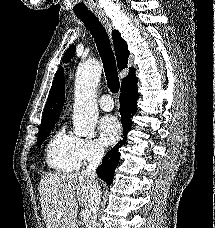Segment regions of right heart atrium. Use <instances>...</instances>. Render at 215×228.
Masks as SVG:
<instances>
[{"instance_id":"right-heart-atrium-1","label":"right heart atrium","mask_w":215,"mask_h":228,"mask_svg":"<svg viewBox=\"0 0 215 228\" xmlns=\"http://www.w3.org/2000/svg\"><path fill=\"white\" fill-rule=\"evenodd\" d=\"M106 152L103 143L94 138L79 139V158L83 164H91L102 160Z\"/></svg>"}]
</instances>
